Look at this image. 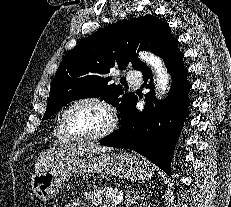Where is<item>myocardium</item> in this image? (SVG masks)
<instances>
[{
  "mask_svg": "<svg viewBox=\"0 0 231 207\" xmlns=\"http://www.w3.org/2000/svg\"><path fill=\"white\" fill-rule=\"evenodd\" d=\"M82 103H92L98 105L106 112L108 117V124L106 128L92 136H78L73 133L69 125L68 116L75 106ZM118 122L119 119L115 108L107 100L98 96H84L74 100L66 107L61 116V123L64 133L70 140L79 143H90L104 139L105 137L111 135L117 129Z\"/></svg>",
  "mask_w": 231,
  "mask_h": 207,
  "instance_id": "obj_1",
  "label": "myocardium"
}]
</instances>
